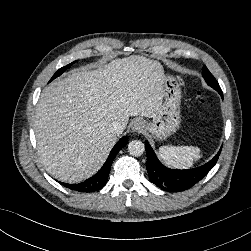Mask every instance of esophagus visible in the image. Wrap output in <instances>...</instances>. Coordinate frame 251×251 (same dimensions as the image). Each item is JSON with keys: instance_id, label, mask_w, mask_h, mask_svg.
I'll return each mask as SVG.
<instances>
[{"instance_id": "34e87169", "label": "esophagus", "mask_w": 251, "mask_h": 251, "mask_svg": "<svg viewBox=\"0 0 251 251\" xmlns=\"http://www.w3.org/2000/svg\"><path fill=\"white\" fill-rule=\"evenodd\" d=\"M145 125L141 120H135L132 124V132L134 133H142L144 131Z\"/></svg>"}]
</instances>
